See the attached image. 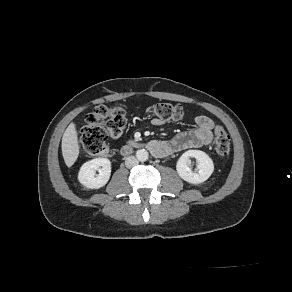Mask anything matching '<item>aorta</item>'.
<instances>
[{
  "mask_svg": "<svg viewBox=\"0 0 292 292\" xmlns=\"http://www.w3.org/2000/svg\"><path fill=\"white\" fill-rule=\"evenodd\" d=\"M148 156L149 154L145 149H139L136 151V157L140 162L146 161L148 159Z\"/></svg>",
  "mask_w": 292,
  "mask_h": 292,
  "instance_id": "obj_1",
  "label": "aorta"
}]
</instances>
